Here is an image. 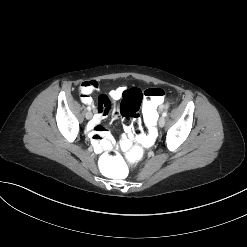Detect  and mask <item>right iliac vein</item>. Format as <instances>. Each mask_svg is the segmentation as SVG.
<instances>
[{
  "label": "right iliac vein",
  "mask_w": 247,
  "mask_h": 247,
  "mask_svg": "<svg viewBox=\"0 0 247 247\" xmlns=\"http://www.w3.org/2000/svg\"><path fill=\"white\" fill-rule=\"evenodd\" d=\"M92 112H90V111H88V112H86V114H85V117L89 120V119H91L92 118Z\"/></svg>",
  "instance_id": "1"
}]
</instances>
